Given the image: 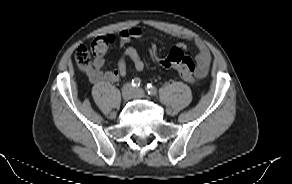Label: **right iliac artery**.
Wrapping results in <instances>:
<instances>
[{
    "label": "right iliac artery",
    "mask_w": 292,
    "mask_h": 184,
    "mask_svg": "<svg viewBox=\"0 0 292 184\" xmlns=\"http://www.w3.org/2000/svg\"><path fill=\"white\" fill-rule=\"evenodd\" d=\"M131 84H132L133 87H136V88H137V87L140 86V84H141V80H140L139 78H134V79L132 80Z\"/></svg>",
    "instance_id": "82829eb1"
}]
</instances>
